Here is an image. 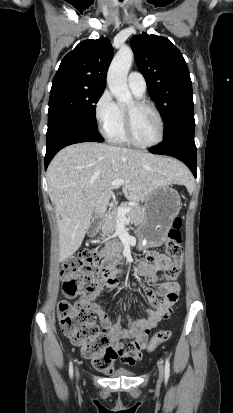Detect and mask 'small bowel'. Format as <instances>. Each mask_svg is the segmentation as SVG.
Returning <instances> with one entry per match:
<instances>
[{
	"mask_svg": "<svg viewBox=\"0 0 233 413\" xmlns=\"http://www.w3.org/2000/svg\"><path fill=\"white\" fill-rule=\"evenodd\" d=\"M146 255L147 260L139 262L135 268V272L139 275H152L165 270L170 265V259L155 249H148ZM117 285L118 281L115 275L103 279L96 292L88 297L85 302L98 316L103 332L111 340L112 348L117 355L116 358L121 359L125 364L135 365L142 357V350L146 347L150 330L167 317L172 306L179 302V284L173 281H165L158 290L146 289V298L153 309L146 310L140 318L128 316L126 327H123L121 318H118L116 322H112L108 313L98 301V297L103 292L112 291ZM125 308H128V306L125 305ZM126 343L128 344L127 348Z\"/></svg>",
	"mask_w": 233,
	"mask_h": 413,
	"instance_id": "obj_1",
	"label": "small bowel"
}]
</instances>
